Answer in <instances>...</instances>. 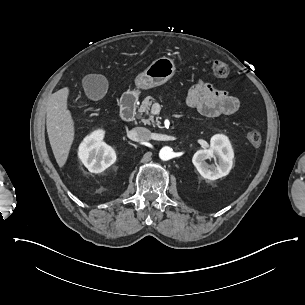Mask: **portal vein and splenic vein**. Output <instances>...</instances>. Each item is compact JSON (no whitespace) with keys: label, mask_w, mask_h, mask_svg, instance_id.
<instances>
[{"label":"portal vein and splenic vein","mask_w":305,"mask_h":305,"mask_svg":"<svg viewBox=\"0 0 305 305\" xmlns=\"http://www.w3.org/2000/svg\"><path fill=\"white\" fill-rule=\"evenodd\" d=\"M151 112L153 113H159L160 112V106L158 104H154L152 106Z\"/></svg>","instance_id":"obj_1"}]
</instances>
